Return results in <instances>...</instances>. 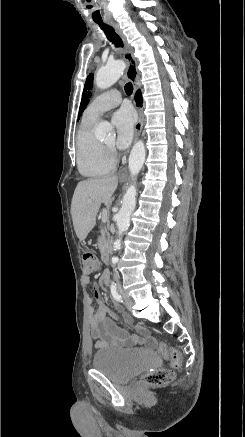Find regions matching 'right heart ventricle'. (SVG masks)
Segmentation results:
<instances>
[{
  "label": "right heart ventricle",
  "instance_id": "right-heart-ventricle-1",
  "mask_svg": "<svg viewBox=\"0 0 245 437\" xmlns=\"http://www.w3.org/2000/svg\"><path fill=\"white\" fill-rule=\"evenodd\" d=\"M95 119L83 116L76 136V161L81 175L100 178L110 174L115 162L94 135Z\"/></svg>",
  "mask_w": 245,
  "mask_h": 437
}]
</instances>
